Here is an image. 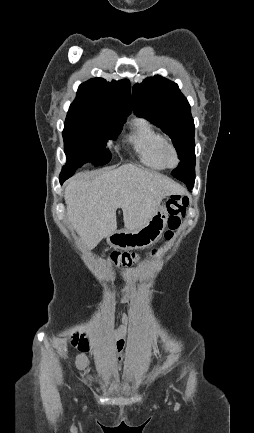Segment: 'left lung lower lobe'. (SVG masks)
Returning <instances> with one entry per match:
<instances>
[{
  "mask_svg": "<svg viewBox=\"0 0 254 433\" xmlns=\"http://www.w3.org/2000/svg\"><path fill=\"white\" fill-rule=\"evenodd\" d=\"M188 190H192L194 183H187Z\"/></svg>",
  "mask_w": 254,
  "mask_h": 433,
  "instance_id": "0a47b994",
  "label": "left lung lower lobe"
}]
</instances>
